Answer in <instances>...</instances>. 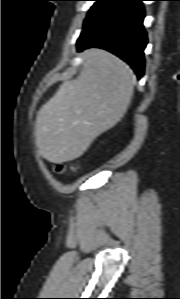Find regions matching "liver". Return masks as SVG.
<instances>
[{
	"instance_id": "6515ba94",
	"label": "liver",
	"mask_w": 180,
	"mask_h": 299,
	"mask_svg": "<svg viewBox=\"0 0 180 299\" xmlns=\"http://www.w3.org/2000/svg\"><path fill=\"white\" fill-rule=\"evenodd\" d=\"M82 58L77 78L64 82L37 113L35 143L51 163L82 156L123 118L132 100L135 76L126 63L101 49L86 50Z\"/></svg>"
}]
</instances>
